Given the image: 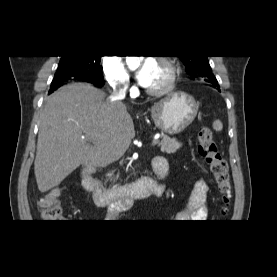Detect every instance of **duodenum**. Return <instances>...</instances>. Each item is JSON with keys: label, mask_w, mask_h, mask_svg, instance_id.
Here are the masks:
<instances>
[{"label": "duodenum", "mask_w": 277, "mask_h": 277, "mask_svg": "<svg viewBox=\"0 0 277 277\" xmlns=\"http://www.w3.org/2000/svg\"><path fill=\"white\" fill-rule=\"evenodd\" d=\"M154 161L161 169V177H165L169 172L167 163L160 157H155ZM81 180L84 188L93 194L98 207L113 206L116 210L129 208L135 199L160 195L163 188V184L145 177L119 188L107 189L93 176L90 166L82 169Z\"/></svg>", "instance_id": "410a0bca"}]
</instances>
